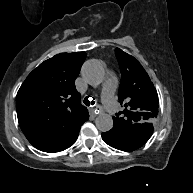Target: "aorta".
<instances>
[{
    "instance_id": "1",
    "label": "aorta",
    "mask_w": 193,
    "mask_h": 193,
    "mask_svg": "<svg viewBox=\"0 0 193 193\" xmlns=\"http://www.w3.org/2000/svg\"><path fill=\"white\" fill-rule=\"evenodd\" d=\"M82 76L92 86L99 85L104 78V68L100 61L89 60L82 67ZM95 125L101 132H107L113 127L112 116L101 113L95 119Z\"/></svg>"
}]
</instances>
